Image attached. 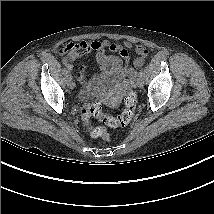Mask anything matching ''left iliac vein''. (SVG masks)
<instances>
[{
  "label": "left iliac vein",
  "instance_id": "4c4485c4",
  "mask_svg": "<svg viewBox=\"0 0 214 214\" xmlns=\"http://www.w3.org/2000/svg\"><path fill=\"white\" fill-rule=\"evenodd\" d=\"M136 81H137V85H138V86H141V85H142V80H141L140 77H138Z\"/></svg>",
  "mask_w": 214,
  "mask_h": 214
}]
</instances>
